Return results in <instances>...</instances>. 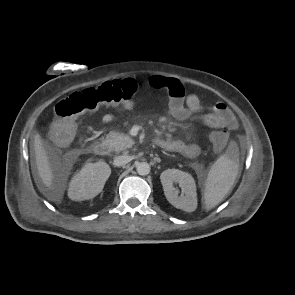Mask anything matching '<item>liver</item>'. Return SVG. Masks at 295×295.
<instances>
[{"label":"liver","mask_w":295,"mask_h":295,"mask_svg":"<svg viewBox=\"0 0 295 295\" xmlns=\"http://www.w3.org/2000/svg\"><path fill=\"white\" fill-rule=\"evenodd\" d=\"M34 151L38 174L43 184L50 190H54V174L46 151L43 147L39 133L34 136Z\"/></svg>","instance_id":"6515ba94"}]
</instances>
